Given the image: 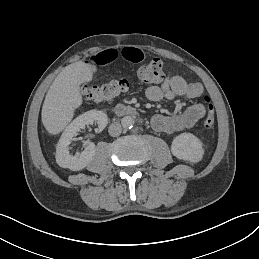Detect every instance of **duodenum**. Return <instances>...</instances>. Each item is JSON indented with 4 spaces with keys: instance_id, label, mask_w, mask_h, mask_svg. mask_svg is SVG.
<instances>
[{
    "instance_id": "1",
    "label": "duodenum",
    "mask_w": 259,
    "mask_h": 259,
    "mask_svg": "<svg viewBox=\"0 0 259 259\" xmlns=\"http://www.w3.org/2000/svg\"><path fill=\"white\" fill-rule=\"evenodd\" d=\"M114 112L117 116L124 117V116H137L138 112L135 108L131 106H127L124 104H117L114 107Z\"/></svg>"
}]
</instances>
